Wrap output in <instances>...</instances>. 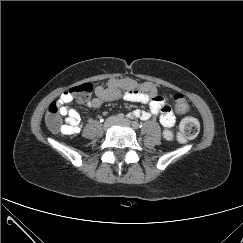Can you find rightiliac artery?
<instances>
[{"instance_id":"1","label":"right iliac artery","mask_w":243,"mask_h":243,"mask_svg":"<svg viewBox=\"0 0 243 243\" xmlns=\"http://www.w3.org/2000/svg\"><path fill=\"white\" fill-rule=\"evenodd\" d=\"M124 118V114L123 113H119L118 115H117V119L118 120H121V119H123Z\"/></svg>"}]
</instances>
